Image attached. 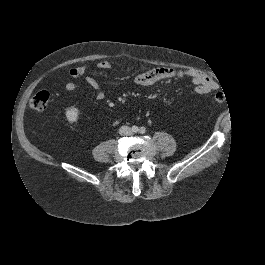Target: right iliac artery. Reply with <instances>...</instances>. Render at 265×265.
Here are the masks:
<instances>
[{
    "instance_id": "obj_1",
    "label": "right iliac artery",
    "mask_w": 265,
    "mask_h": 265,
    "mask_svg": "<svg viewBox=\"0 0 265 265\" xmlns=\"http://www.w3.org/2000/svg\"><path fill=\"white\" fill-rule=\"evenodd\" d=\"M132 131H133L134 133L138 132V127H137V126H133V127H132Z\"/></svg>"
}]
</instances>
